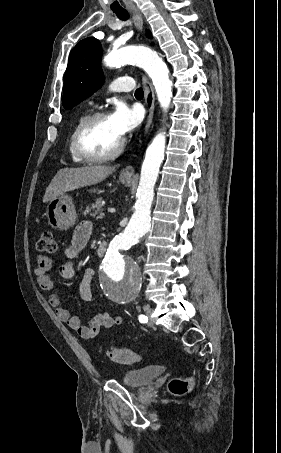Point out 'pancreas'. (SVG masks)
I'll return each mask as SVG.
<instances>
[{
    "label": "pancreas",
    "instance_id": "1",
    "mask_svg": "<svg viewBox=\"0 0 281 453\" xmlns=\"http://www.w3.org/2000/svg\"><path fill=\"white\" fill-rule=\"evenodd\" d=\"M87 212H89L90 216H94V218H103V204H102V196H98L96 198L94 204L88 206Z\"/></svg>",
    "mask_w": 281,
    "mask_h": 453
}]
</instances>
